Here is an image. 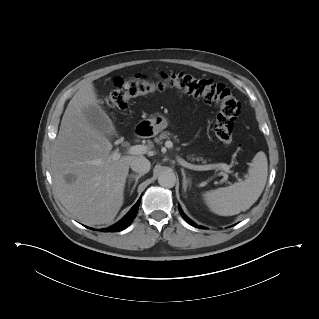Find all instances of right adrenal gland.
Returning <instances> with one entry per match:
<instances>
[{
	"label": "right adrenal gland",
	"mask_w": 319,
	"mask_h": 319,
	"mask_svg": "<svg viewBox=\"0 0 319 319\" xmlns=\"http://www.w3.org/2000/svg\"><path fill=\"white\" fill-rule=\"evenodd\" d=\"M144 174H138V175H135V174H130L129 175V183L132 181V179H135V184H134V186H133V188H132V190H131V193H133V191H134V189H135V187H136V185H137V183H138V180L143 176Z\"/></svg>",
	"instance_id": "2a0ac1e0"
}]
</instances>
